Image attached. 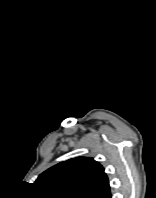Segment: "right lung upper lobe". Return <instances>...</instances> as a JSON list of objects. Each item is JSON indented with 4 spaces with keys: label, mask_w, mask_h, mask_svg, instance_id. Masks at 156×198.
I'll list each match as a JSON object with an SVG mask.
<instances>
[{
    "label": "right lung upper lobe",
    "mask_w": 156,
    "mask_h": 198,
    "mask_svg": "<svg viewBox=\"0 0 156 198\" xmlns=\"http://www.w3.org/2000/svg\"><path fill=\"white\" fill-rule=\"evenodd\" d=\"M34 185L50 198H112L103 167L90 157H77L49 168Z\"/></svg>",
    "instance_id": "obj_1"
}]
</instances>
